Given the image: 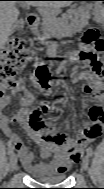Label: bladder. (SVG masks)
Wrapping results in <instances>:
<instances>
[{
    "instance_id": "1",
    "label": "bladder",
    "mask_w": 104,
    "mask_h": 189,
    "mask_svg": "<svg viewBox=\"0 0 104 189\" xmlns=\"http://www.w3.org/2000/svg\"><path fill=\"white\" fill-rule=\"evenodd\" d=\"M66 172L56 168L52 171H43L40 175H33L34 178L43 183H58L66 178Z\"/></svg>"
}]
</instances>
